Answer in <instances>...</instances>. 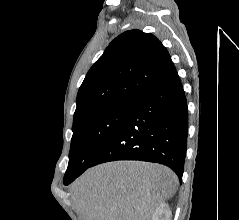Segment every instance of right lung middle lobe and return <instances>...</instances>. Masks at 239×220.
Segmentation results:
<instances>
[{
  "label": "right lung middle lobe",
  "mask_w": 239,
  "mask_h": 220,
  "mask_svg": "<svg viewBox=\"0 0 239 220\" xmlns=\"http://www.w3.org/2000/svg\"><path fill=\"white\" fill-rule=\"evenodd\" d=\"M130 104H120L89 113L73 121L69 163L63 183H71L91 164L116 132Z\"/></svg>",
  "instance_id": "right-lung-middle-lobe-1"
}]
</instances>
